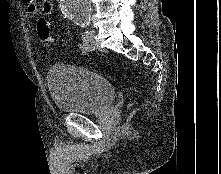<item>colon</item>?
<instances>
[{
  "label": "colon",
  "mask_w": 221,
  "mask_h": 174,
  "mask_svg": "<svg viewBox=\"0 0 221 174\" xmlns=\"http://www.w3.org/2000/svg\"><path fill=\"white\" fill-rule=\"evenodd\" d=\"M37 33H38L39 39L43 43L48 44V43L52 42V36H51V33H50L49 24H48V21L44 17H41L38 20Z\"/></svg>",
  "instance_id": "1"
}]
</instances>
